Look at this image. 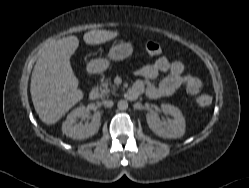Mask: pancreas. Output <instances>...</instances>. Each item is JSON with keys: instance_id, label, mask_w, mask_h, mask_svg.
Masks as SVG:
<instances>
[{"instance_id": "obj_1", "label": "pancreas", "mask_w": 249, "mask_h": 188, "mask_svg": "<svg viewBox=\"0 0 249 188\" xmlns=\"http://www.w3.org/2000/svg\"><path fill=\"white\" fill-rule=\"evenodd\" d=\"M115 86L109 82V80L102 81L100 84V96L101 97H107L110 92L114 93Z\"/></svg>"}]
</instances>
